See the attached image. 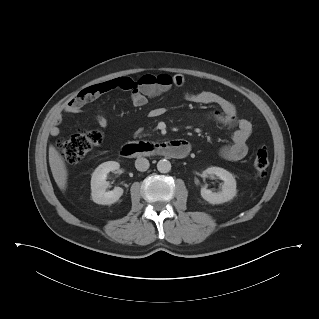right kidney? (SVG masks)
<instances>
[{"instance_id": "right-kidney-1", "label": "right kidney", "mask_w": 319, "mask_h": 319, "mask_svg": "<svg viewBox=\"0 0 319 319\" xmlns=\"http://www.w3.org/2000/svg\"><path fill=\"white\" fill-rule=\"evenodd\" d=\"M120 164L115 161H108L100 164L92 174L91 196L97 204L111 205L119 200L123 194L121 187H115L112 191H106L109 183L106 181L110 171L118 170Z\"/></svg>"}]
</instances>
